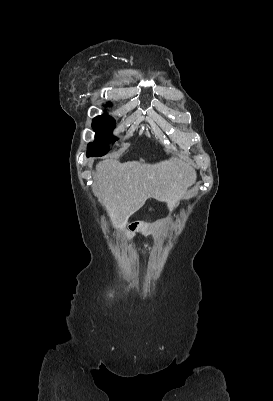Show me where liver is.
I'll return each mask as SVG.
<instances>
[{"label":"liver","mask_w":273,"mask_h":401,"mask_svg":"<svg viewBox=\"0 0 273 401\" xmlns=\"http://www.w3.org/2000/svg\"><path fill=\"white\" fill-rule=\"evenodd\" d=\"M196 178L190 162L177 156L156 164L106 158L96 164L93 190L106 207L114 229L124 231L129 217L145 205L147 198L167 203L173 211Z\"/></svg>","instance_id":"liver-1"}]
</instances>
